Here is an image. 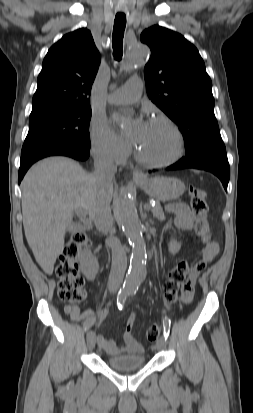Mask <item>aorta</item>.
Returning a JSON list of instances; mask_svg holds the SVG:
<instances>
[{"label": "aorta", "mask_w": 253, "mask_h": 413, "mask_svg": "<svg viewBox=\"0 0 253 413\" xmlns=\"http://www.w3.org/2000/svg\"><path fill=\"white\" fill-rule=\"evenodd\" d=\"M148 55V47L137 43L129 48L125 61L120 65V71L127 72L131 70L135 64L144 62ZM115 211L132 246L130 267L124 282V289L134 291L138 289L146 277V246L143 227L138 217L135 202L127 190H123L118 196Z\"/></svg>", "instance_id": "762f6f07"}]
</instances>
